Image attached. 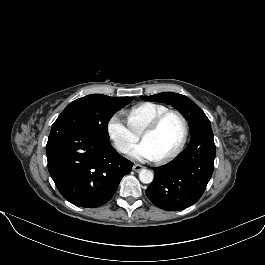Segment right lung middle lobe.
<instances>
[{"mask_svg": "<svg viewBox=\"0 0 265 265\" xmlns=\"http://www.w3.org/2000/svg\"><path fill=\"white\" fill-rule=\"evenodd\" d=\"M132 100L125 97L114 101L99 94L88 95L71 102L59 115L51 132L65 128H77L109 140L108 121L113 114Z\"/></svg>", "mask_w": 265, "mask_h": 265, "instance_id": "1", "label": "right lung middle lobe"}]
</instances>
